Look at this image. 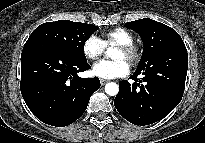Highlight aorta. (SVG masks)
<instances>
[{
  "label": "aorta",
  "mask_w": 205,
  "mask_h": 143,
  "mask_svg": "<svg viewBox=\"0 0 205 143\" xmlns=\"http://www.w3.org/2000/svg\"><path fill=\"white\" fill-rule=\"evenodd\" d=\"M109 53L110 49L107 51V56H109ZM105 92L110 96H116L119 92V86L114 82L107 83L105 85Z\"/></svg>",
  "instance_id": "1"
}]
</instances>
